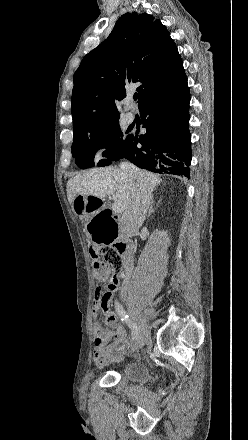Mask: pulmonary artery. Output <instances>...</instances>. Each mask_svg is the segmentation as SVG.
Masks as SVG:
<instances>
[{
  "instance_id": "pulmonary-artery-1",
  "label": "pulmonary artery",
  "mask_w": 248,
  "mask_h": 440,
  "mask_svg": "<svg viewBox=\"0 0 248 440\" xmlns=\"http://www.w3.org/2000/svg\"><path fill=\"white\" fill-rule=\"evenodd\" d=\"M125 104H126V107H127L128 110H129V111L125 114V117H126V120H127L129 123H131V122H133L134 119H135V113H134L132 110H130V109L132 108V100H131V98H128V99L126 100Z\"/></svg>"
}]
</instances>
